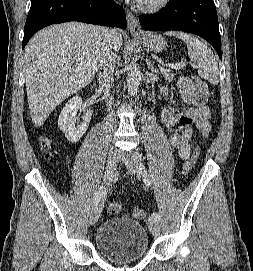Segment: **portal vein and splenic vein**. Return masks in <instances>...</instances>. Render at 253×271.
Listing matches in <instances>:
<instances>
[{
	"label": "portal vein and splenic vein",
	"instance_id": "obj_1",
	"mask_svg": "<svg viewBox=\"0 0 253 271\" xmlns=\"http://www.w3.org/2000/svg\"><path fill=\"white\" fill-rule=\"evenodd\" d=\"M166 66L179 70L185 67V63H168Z\"/></svg>",
	"mask_w": 253,
	"mask_h": 271
}]
</instances>
